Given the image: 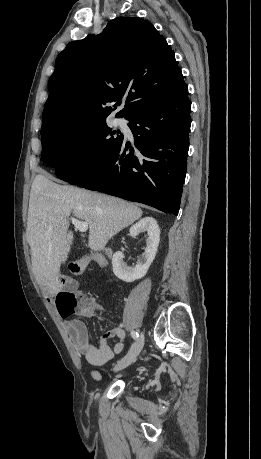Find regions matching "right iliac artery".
Here are the masks:
<instances>
[{"label":"right iliac artery","instance_id":"right-iliac-artery-1","mask_svg":"<svg viewBox=\"0 0 261 459\" xmlns=\"http://www.w3.org/2000/svg\"><path fill=\"white\" fill-rule=\"evenodd\" d=\"M131 336H132L133 339H135V340H138V338H139V334H138V332H136V331H131Z\"/></svg>","mask_w":261,"mask_h":459}]
</instances>
